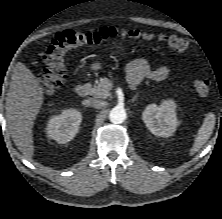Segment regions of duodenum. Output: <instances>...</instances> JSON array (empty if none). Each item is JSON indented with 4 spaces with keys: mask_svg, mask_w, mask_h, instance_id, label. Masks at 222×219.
<instances>
[{
    "mask_svg": "<svg viewBox=\"0 0 222 219\" xmlns=\"http://www.w3.org/2000/svg\"><path fill=\"white\" fill-rule=\"evenodd\" d=\"M89 92H90V87L87 82L80 83L75 87V93L80 97L87 96Z\"/></svg>",
    "mask_w": 222,
    "mask_h": 219,
    "instance_id": "obj_1",
    "label": "duodenum"
}]
</instances>
